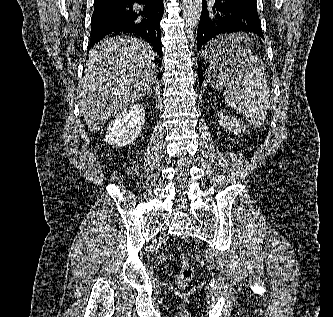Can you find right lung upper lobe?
<instances>
[{"label": "right lung upper lobe", "instance_id": "obj_1", "mask_svg": "<svg viewBox=\"0 0 333 317\" xmlns=\"http://www.w3.org/2000/svg\"><path fill=\"white\" fill-rule=\"evenodd\" d=\"M112 1H117V0H94V3H108Z\"/></svg>", "mask_w": 333, "mask_h": 317}]
</instances>
